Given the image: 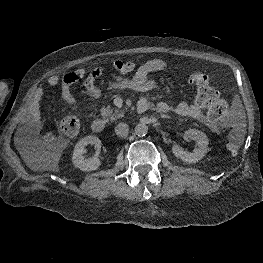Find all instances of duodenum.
I'll list each match as a JSON object with an SVG mask.
<instances>
[{"label":"duodenum","instance_id":"duodenum-1","mask_svg":"<svg viewBox=\"0 0 263 263\" xmlns=\"http://www.w3.org/2000/svg\"><path fill=\"white\" fill-rule=\"evenodd\" d=\"M148 109V105L144 102H139L137 105V112L139 114L144 113ZM106 124L104 120L96 118L91 124V129L94 133L100 134L105 130Z\"/></svg>","mask_w":263,"mask_h":263}]
</instances>
